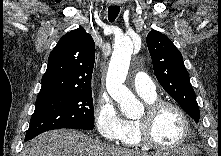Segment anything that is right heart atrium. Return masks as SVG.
<instances>
[{"mask_svg":"<svg viewBox=\"0 0 221 156\" xmlns=\"http://www.w3.org/2000/svg\"><path fill=\"white\" fill-rule=\"evenodd\" d=\"M94 123L99 135L109 142H118L125 131V122L119 116L113 100L102 92L97 98Z\"/></svg>","mask_w":221,"mask_h":156,"instance_id":"d8ad5b80","label":"right heart atrium"}]
</instances>
